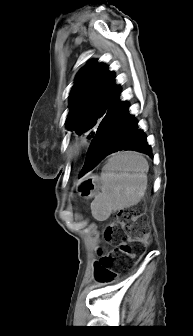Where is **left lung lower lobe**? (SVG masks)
Instances as JSON below:
<instances>
[{"mask_svg":"<svg viewBox=\"0 0 193 336\" xmlns=\"http://www.w3.org/2000/svg\"><path fill=\"white\" fill-rule=\"evenodd\" d=\"M135 150L152 157L151 147L126 101H120L107 112L97 127L79 176L96 167L107 155L119 150Z\"/></svg>","mask_w":193,"mask_h":336,"instance_id":"0a47b994","label":"left lung lower lobe"}]
</instances>
